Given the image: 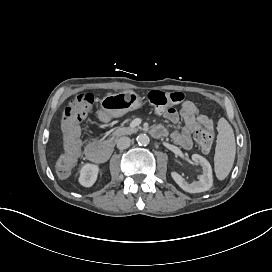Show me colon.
Listing matches in <instances>:
<instances>
[{"label": "colon", "mask_w": 272, "mask_h": 272, "mask_svg": "<svg viewBox=\"0 0 272 272\" xmlns=\"http://www.w3.org/2000/svg\"><path fill=\"white\" fill-rule=\"evenodd\" d=\"M182 100V94L180 92L165 93L158 90H153L149 93L148 101L153 104L157 109L171 107L173 104ZM94 102V96L90 92H84L76 95L69 103L63 108L62 112V125L63 128V143L61 159L56 167L57 175L60 178H65L71 172L74 164L79 159L81 152L80 142L81 136L77 129L79 122L87 114L88 107ZM212 115L205 113L201 119L203 125L202 130L196 135V140L200 144L202 149L208 150L211 148L214 131L212 129L210 121Z\"/></svg>", "instance_id": "obj_1"}]
</instances>
